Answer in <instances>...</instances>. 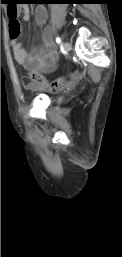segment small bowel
I'll return each mask as SVG.
<instances>
[{
  "mask_svg": "<svg viewBox=\"0 0 122 257\" xmlns=\"http://www.w3.org/2000/svg\"><path fill=\"white\" fill-rule=\"evenodd\" d=\"M16 11L17 14H22L23 20L30 21L31 12L27 6L18 7V10ZM7 12L9 13V10H7ZM33 18L37 26H44L48 18L46 8L43 6L36 7ZM42 40L43 45L41 47L28 52L17 38H11L10 45L15 60L19 65L30 72L47 73L52 71L56 66L57 52L52 41L51 33L48 29L43 31Z\"/></svg>",
  "mask_w": 122,
  "mask_h": 257,
  "instance_id": "small-bowel-1",
  "label": "small bowel"
}]
</instances>
